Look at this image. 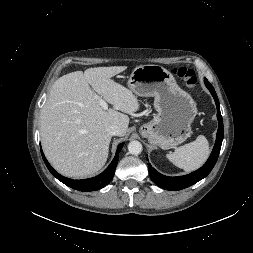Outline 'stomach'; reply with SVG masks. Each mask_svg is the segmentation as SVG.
<instances>
[{
    "label": "stomach",
    "mask_w": 253,
    "mask_h": 253,
    "mask_svg": "<svg viewBox=\"0 0 253 253\" xmlns=\"http://www.w3.org/2000/svg\"><path fill=\"white\" fill-rule=\"evenodd\" d=\"M127 84L137 96L154 97L157 115L140 128L150 144L167 149L190 136L191 123L197 114L196 103L166 68L155 64L138 66Z\"/></svg>",
    "instance_id": "0dacf381"
}]
</instances>
